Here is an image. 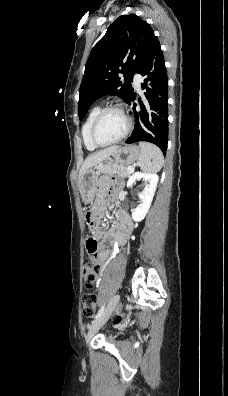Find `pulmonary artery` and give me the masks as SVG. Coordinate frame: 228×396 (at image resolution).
I'll return each instance as SVG.
<instances>
[{
	"mask_svg": "<svg viewBox=\"0 0 228 396\" xmlns=\"http://www.w3.org/2000/svg\"><path fill=\"white\" fill-rule=\"evenodd\" d=\"M141 81H142L141 76H140L139 74H136V75L134 76V86H135L137 89H140V88H141Z\"/></svg>",
	"mask_w": 228,
	"mask_h": 396,
	"instance_id": "1",
	"label": "pulmonary artery"
}]
</instances>
